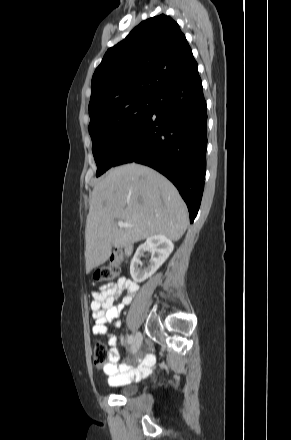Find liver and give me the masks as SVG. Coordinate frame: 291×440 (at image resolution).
Masks as SVG:
<instances>
[{"instance_id":"liver-1","label":"liver","mask_w":291,"mask_h":440,"mask_svg":"<svg viewBox=\"0 0 291 440\" xmlns=\"http://www.w3.org/2000/svg\"><path fill=\"white\" fill-rule=\"evenodd\" d=\"M116 220L133 224L118 228ZM189 223L175 186L157 171L135 163L110 169L94 187L86 220V272L105 263L111 247L153 235L178 241Z\"/></svg>"}]
</instances>
